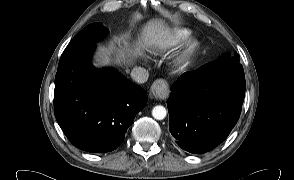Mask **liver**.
I'll return each mask as SVG.
<instances>
[{
  "instance_id": "6515ba94",
  "label": "liver",
  "mask_w": 294,
  "mask_h": 180,
  "mask_svg": "<svg viewBox=\"0 0 294 180\" xmlns=\"http://www.w3.org/2000/svg\"><path fill=\"white\" fill-rule=\"evenodd\" d=\"M163 31H166L165 23L164 21L160 19H153L147 22L145 25L143 32H142V42L144 45H151L154 40L159 36L160 33ZM124 49L119 50L118 55L116 57L115 63L121 64L122 62H128L130 63L133 57H136L138 54V49L136 51H130L128 48V43L124 42ZM110 53L108 51L103 53H98L96 56V65L97 66H104L110 64L112 61L110 59ZM130 57V59H129ZM132 57V58H131Z\"/></svg>"
}]
</instances>
